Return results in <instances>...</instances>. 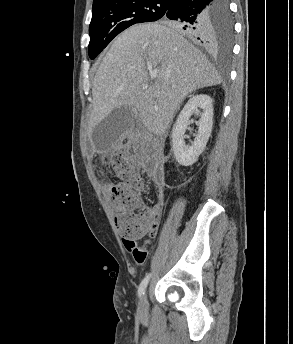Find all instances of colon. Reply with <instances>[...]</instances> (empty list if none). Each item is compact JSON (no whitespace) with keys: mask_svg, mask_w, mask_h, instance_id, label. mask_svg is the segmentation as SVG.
<instances>
[{"mask_svg":"<svg viewBox=\"0 0 293 344\" xmlns=\"http://www.w3.org/2000/svg\"><path fill=\"white\" fill-rule=\"evenodd\" d=\"M106 161L122 180L112 187L110 193V204L119 231L129 239L154 237L158 227V214L147 208L139 197L143 182L136 165L128 155L118 151L109 153Z\"/></svg>","mask_w":293,"mask_h":344,"instance_id":"colon-1","label":"colon"}]
</instances>
